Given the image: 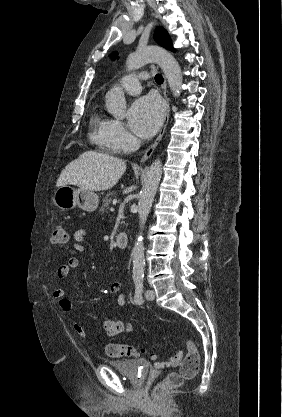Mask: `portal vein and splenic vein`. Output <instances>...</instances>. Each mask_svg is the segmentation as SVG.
<instances>
[{"label":"portal vein and splenic vein","instance_id":"1","mask_svg":"<svg viewBox=\"0 0 282 417\" xmlns=\"http://www.w3.org/2000/svg\"><path fill=\"white\" fill-rule=\"evenodd\" d=\"M116 202H117V200H116V198H114L113 204H116ZM114 209L116 210L117 208L115 207Z\"/></svg>","mask_w":282,"mask_h":417}]
</instances>
